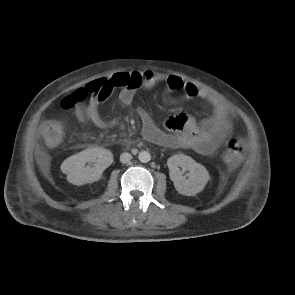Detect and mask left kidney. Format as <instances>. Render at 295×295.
<instances>
[{
	"mask_svg": "<svg viewBox=\"0 0 295 295\" xmlns=\"http://www.w3.org/2000/svg\"><path fill=\"white\" fill-rule=\"evenodd\" d=\"M167 165L175 189L185 196H194L200 193L210 179L209 173L203 165L183 154L170 157ZM179 167L189 171L187 179L183 176Z\"/></svg>",
	"mask_w": 295,
	"mask_h": 295,
	"instance_id": "obj_1",
	"label": "left kidney"
}]
</instances>
